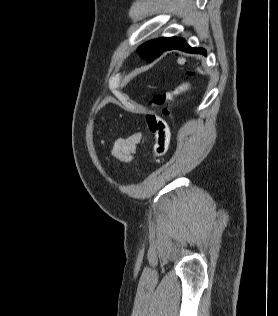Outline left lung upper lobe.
<instances>
[{
    "label": "left lung upper lobe",
    "instance_id": "obj_1",
    "mask_svg": "<svg viewBox=\"0 0 278 316\" xmlns=\"http://www.w3.org/2000/svg\"><path fill=\"white\" fill-rule=\"evenodd\" d=\"M174 37H162L156 40H151L141 45L137 51L139 55L147 61L153 60L160 56L166 46L172 41Z\"/></svg>",
    "mask_w": 278,
    "mask_h": 316
}]
</instances>
